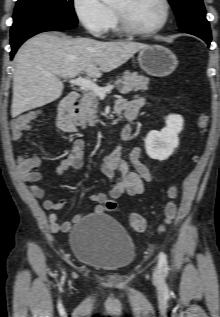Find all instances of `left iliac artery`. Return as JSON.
Masks as SVG:
<instances>
[{
	"mask_svg": "<svg viewBox=\"0 0 220 317\" xmlns=\"http://www.w3.org/2000/svg\"><path fill=\"white\" fill-rule=\"evenodd\" d=\"M159 263H160V265H162L164 267V272H165V274H167V271L169 269L168 262H167V256L163 252H160V254H159Z\"/></svg>",
	"mask_w": 220,
	"mask_h": 317,
	"instance_id": "obj_1",
	"label": "left iliac artery"
}]
</instances>
